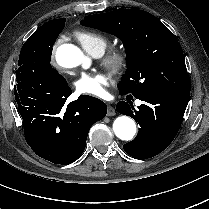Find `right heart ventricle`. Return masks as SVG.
Masks as SVG:
<instances>
[{
	"instance_id": "right-heart-ventricle-1",
	"label": "right heart ventricle",
	"mask_w": 209,
	"mask_h": 209,
	"mask_svg": "<svg viewBox=\"0 0 209 209\" xmlns=\"http://www.w3.org/2000/svg\"><path fill=\"white\" fill-rule=\"evenodd\" d=\"M76 37L83 48L91 54L97 51L103 52L107 45L106 38L102 34L92 30L79 31Z\"/></svg>"
}]
</instances>
